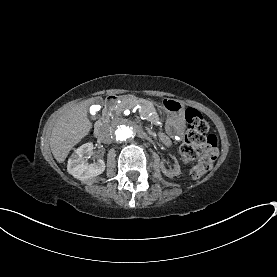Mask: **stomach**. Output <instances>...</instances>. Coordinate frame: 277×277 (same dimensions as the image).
<instances>
[{
	"label": "stomach",
	"mask_w": 277,
	"mask_h": 277,
	"mask_svg": "<svg viewBox=\"0 0 277 277\" xmlns=\"http://www.w3.org/2000/svg\"><path fill=\"white\" fill-rule=\"evenodd\" d=\"M159 109L166 115L169 130L179 133L185 128V106L180 100L165 98L159 104Z\"/></svg>",
	"instance_id": "stomach-1"
}]
</instances>
